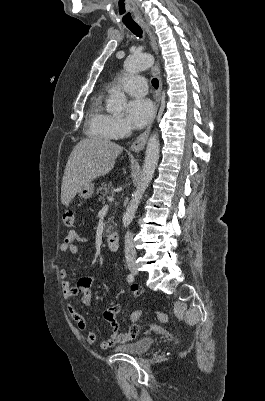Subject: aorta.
I'll return each instance as SVG.
<instances>
[{
    "label": "aorta",
    "mask_w": 265,
    "mask_h": 401,
    "mask_svg": "<svg viewBox=\"0 0 265 401\" xmlns=\"http://www.w3.org/2000/svg\"><path fill=\"white\" fill-rule=\"evenodd\" d=\"M154 58L152 54H147V52H143L140 54L138 60H134V58H127L124 62V68L126 72H138V70H142V68H147V66H151L153 64ZM126 104V98L124 92L121 90H114L113 94H111L108 102L107 108L110 112H121ZM160 156V142L158 138V134H151L145 152V160L140 176V182L131 198V201L122 217V225L123 227H128L130 223H132L135 213L139 207V203L141 198L147 188L149 186L153 174L155 172L156 164H158V158Z\"/></svg>",
    "instance_id": "obj_1"
}]
</instances>
